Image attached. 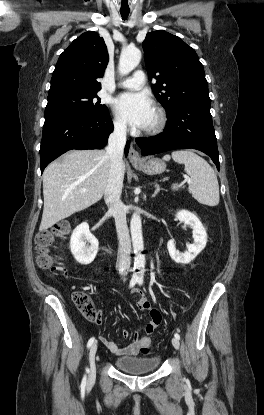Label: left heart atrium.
I'll return each mask as SVG.
<instances>
[{
    "label": "left heart atrium",
    "mask_w": 264,
    "mask_h": 415,
    "mask_svg": "<svg viewBox=\"0 0 264 415\" xmlns=\"http://www.w3.org/2000/svg\"><path fill=\"white\" fill-rule=\"evenodd\" d=\"M115 110L132 127L146 128L154 106L146 93H124L115 100Z\"/></svg>",
    "instance_id": "39dd6f15"
}]
</instances>
